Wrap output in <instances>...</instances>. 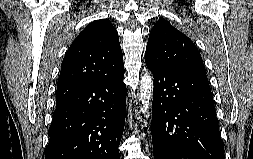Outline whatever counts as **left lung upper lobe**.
<instances>
[{
    "label": "left lung upper lobe",
    "mask_w": 253,
    "mask_h": 159,
    "mask_svg": "<svg viewBox=\"0 0 253 159\" xmlns=\"http://www.w3.org/2000/svg\"><path fill=\"white\" fill-rule=\"evenodd\" d=\"M145 62L165 69L191 70L206 74L196 46L166 20H159L151 29Z\"/></svg>",
    "instance_id": "1"
}]
</instances>
